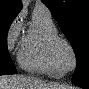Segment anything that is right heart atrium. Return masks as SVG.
<instances>
[{
    "label": "right heart atrium",
    "instance_id": "1",
    "mask_svg": "<svg viewBox=\"0 0 89 89\" xmlns=\"http://www.w3.org/2000/svg\"><path fill=\"white\" fill-rule=\"evenodd\" d=\"M23 19L21 16H18L10 25L7 36H6V45L9 52H12L15 48L22 30Z\"/></svg>",
    "mask_w": 89,
    "mask_h": 89
}]
</instances>
